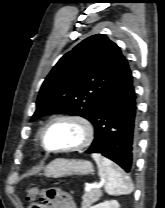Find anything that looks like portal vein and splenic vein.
<instances>
[{"label":"portal vein and splenic vein","instance_id":"18ae733b","mask_svg":"<svg viewBox=\"0 0 165 208\" xmlns=\"http://www.w3.org/2000/svg\"><path fill=\"white\" fill-rule=\"evenodd\" d=\"M102 185H103L102 182H100V183L86 184V186H85V191H90V190L93 189V188H99V187H101Z\"/></svg>","mask_w":165,"mask_h":208}]
</instances>
